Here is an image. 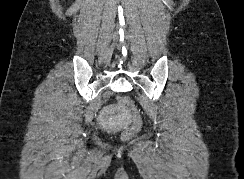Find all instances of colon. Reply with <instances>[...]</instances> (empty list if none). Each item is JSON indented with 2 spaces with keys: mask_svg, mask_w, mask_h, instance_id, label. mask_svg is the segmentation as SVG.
I'll return each instance as SVG.
<instances>
[{
  "mask_svg": "<svg viewBox=\"0 0 244 179\" xmlns=\"http://www.w3.org/2000/svg\"><path fill=\"white\" fill-rule=\"evenodd\" d=\"M115 101H120L123 107L129 108L128 114L131 115V121L134 125H128L126 132L122 133V138H137V133H140L141 125L144 124L142 120V112H139L134 107V102L130 99V96H115Z\"/></svg>",
  "mask_w": 244,
  "mask_h": 179,
  "instance_id": "obj_1",
  "label": "colon"
}]
</instances>
